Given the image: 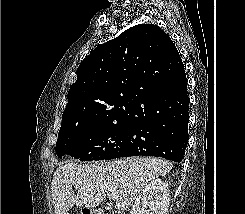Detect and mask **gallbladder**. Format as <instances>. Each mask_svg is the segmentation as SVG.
I'll return each mask as SVG.
<instances>
[{"label":"gallbladder","instance_id":"1","mask_svg":"<svg viewBox=\"0 0 245 214\" xmlns=\"http://www.w3.org/2000/svg\"><path fill=\"white\" fill-rule=\"evenodd\" d=\"M106 209L108 210V209H110L109 207H106Z\"/></svg>","mask_w":245,"mask_h":214}]
</instances>
